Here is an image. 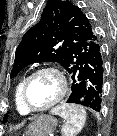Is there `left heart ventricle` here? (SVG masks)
Segmentation results:
<instances>
[{
  "label": "left heart ventricle",
  "mask_w": 117,
  "mask_h": 136,
  "mask_svg": "<svg viewBox=\"0 0 117 136\" xmlns=\"http://www.w3.org/2000/svg\"><path fill=\"white\" fill-rule=\"evenodd\" d=\"M60 91L58 78L51 73H42L32 79L28 87L31 106L41 108L53 101Z\"/></svg>",
  "instance_id": "b2bd125f"
}]
</instances>
